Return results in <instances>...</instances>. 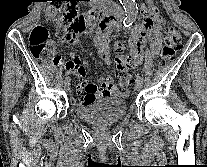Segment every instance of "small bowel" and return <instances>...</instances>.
I'll list each match as a JSON object with an SVG mask.
<instances>
[{
	"mask_svg": "<svg viewBox=\"0 0 207 167\" xmlns=\"http://www.w3.org/2000/svg\"><path fill=\"white\" fill-rule=\"evenodd\" d=\"M142 15L143 22L141 24H136L131 30L129 53H124L123 46L120 43H116L113 47L115 59L118 62L119 67L126 70L138 67L142 63L144 57H157L162 47L163 18L158 14L156 8L152 4H148L143 8ZM78 34L85 35L87 34V31L80 28L69 42H76ZM59 42L63 43V41ZM146 42H148V45H146ZM95 45L98 49L99 57L106 65H110L111 57L107 24H103L99 28L95 37ZM66 68L68 73H75L81 78L76 87L77 97L72 100L76 105L91 102L106 96L126 95V92L115 84L112 77H101L99 85L87 83L85 80L86 68L80 60H78L77 65L72 66L67 64Z\"/></svg>",
	"mask_w": 207,
	"mask_h": 167,
	"instance_id": "obj_1",
	"label": "small bowel"
}]
</instances>
